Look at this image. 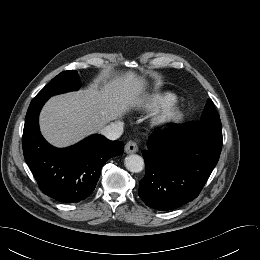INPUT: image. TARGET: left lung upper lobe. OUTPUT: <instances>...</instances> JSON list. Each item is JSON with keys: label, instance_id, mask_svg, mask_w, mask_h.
<instances>
[{"label": "left lung upper lobe", "instance_id": "1", "mask_svg": "<svg viewBox=\"0 0 260 260\" xmlns=\"http://www.w3.org/2000/svg\"><path fill=\"white\" fill-rule=\"evenodd\" d=\"M189 126L192 129L196 130L210 131L222 134L220 117L211 99H208L207 104L202 113L201 119L199 121L190 123Z\"/></svg>", "mask_w": 260, "mask_h": 260}]
</instances>
